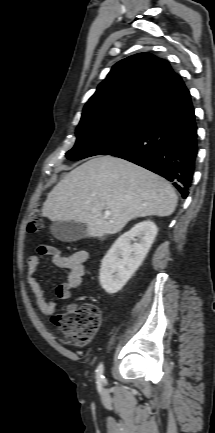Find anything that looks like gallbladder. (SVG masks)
<instances>
[{"label": "gallbladder", "mask_w": 215, "mask_h": 433, "mask_svg": "<svg viewBox=\"0 0 215 433\" xmlns=\"http://www.w3.org/2000/svg\"><path fill=\"white\" fill-rule=\"evenodd\" d=\"M50 232L59 241L74 242L87 236V227L75 221H55Z\"/></svg>", "instance_id": "obj_1"}]
</instances>
